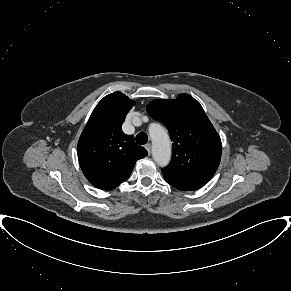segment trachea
Returning a JSON list of instances; mask_svg holds the SVG:
<instances>
[{
    "mask_svg": "<svg viewBox=\"0 0 291 291\" xmlns=\"http://www.w3.org/2000/svg\"><path fill=\"white\" fill-rule=\"evenodd\" d=\"M135 139H136V142L140 145H144L148 142V136L144 132L139 133Z\"/></svg>",
    "mask_w": 291,
    "mask_h": 291,
    "instance_id": "trachea-1",
    "label": "trachea"
}]
</instances>
